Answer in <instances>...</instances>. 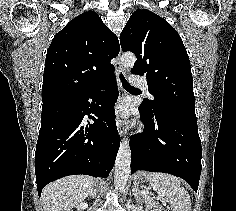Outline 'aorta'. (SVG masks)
<instances>
[{
	"instance_id": "1",
	"label": "aorta",
	"mask_w": 236,
	"mask_h": 211,
	"mask_svg": "<svg viewBox=\"0 0 236 211\" xmlns=\"http://www.w3.org/2000/svg\"><path fill=\"white\" fill-rule=\"evenodd\" d=\"M136 62V56L131 52H126L121 56V66L125 70L133 68ZM131 165V151L129 141L123 139L120 143V147L117 153L115 161V173H114V184L116 190H124L128 177L130 175Z\"/></svg>"
}]
</instances>
